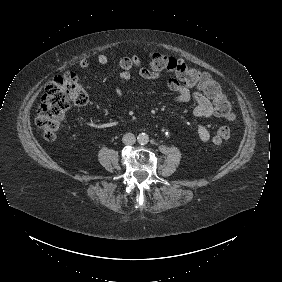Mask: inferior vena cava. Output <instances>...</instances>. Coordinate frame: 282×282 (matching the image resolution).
Wrapping results in <instances>:
<instances>
[{
  "label": "inferior vena cava",
  "mask_w": 282,
  "mask_h": 282,
  "mask_svg": "<svg viewBox=\"0 0 282 282\" xmlns=\"http://www.w3.org/2000/svg\"><path fill=\"white\" fill-rule=\"evenodd\" d=\"M122 142L125 145H133L136 142V137L133 133H126L122 137Z\"/></svg>",
  "instance_id": "1"
}]
</instances>
